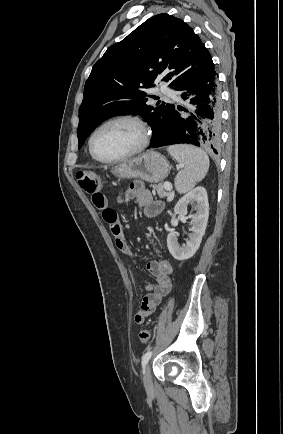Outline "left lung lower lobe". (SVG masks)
<instances>
[{
    "label": "left lung lower lobe",
    "instance_id": "left-lung-lower-lobe-1",
    "mask_svg": "<svg viewBox=\"0 0 283 434\" xmlns=\"http://www.w3.org/2000/svg\"><path fill=\"white\" fill-rule=\"evenodd\" d=\"M181 97L189 100L191 111L179 108L171 114L169 123L152 147L186 143L203 146L217 152L221 135V93L217 73L211 60L185 81L178 89Z\"/></svg>",
    "mask_w": 283,
    "mask_h": 434
}]
</instances>
